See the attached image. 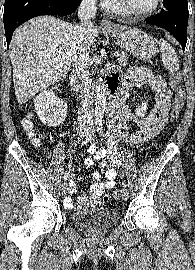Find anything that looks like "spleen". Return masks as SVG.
Returning <instances> with one entry per match:
<instances>
[{"label":"spleen","instance_id":"spleen-1","mask_svg":"<svg viewBox=\"0 0 195 270\" xmlns=\"http://www.w3.org/2000/svg\"><path fill=\"white\" fill-rule=\"evenodd\" d=\"M163 65L170 72L179 70V60L173 47L164 39L159 40Z\"/></svg>","mask_w":195,"mask_h":270}]
</instances>
